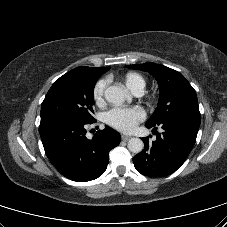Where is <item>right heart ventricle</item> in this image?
<instances>
[{"mask_svg":"<svg viewBox=\"0 0 227 227\" xmlns=\"http://www.w3.org/2000/svg\"><path fill=\"white\" fill-rule=\"evenodd\" d=\"M124 81L127 87L133 92L143 90L146 85L144 77L136 72H128L124 77Z\"/></svg>","mask_w":227,"mask_h":227,"instance_id":"e07e8e85","label":"right heart ventricle"}]
</instances>
